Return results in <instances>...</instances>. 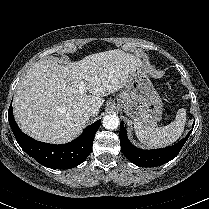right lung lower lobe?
I'll return each mask as SVG.
<instances>
[{
	"mask_svg": "<svg viewBox=\"0 0 209 209\" xmlns=\"http://www.w3.org/2000/svg\"><path fill=\"white\" fill-rule=\"evenodd\" d=\"M8 119L20 147L41 165L55 169L72 168L85 161L92 151L94 136L101 124V120L91 124L70 143L53 145L36 141L23 133L13 117L12 105L8 110Z\"/></svg>",
	"mask_w": 209,
	"mask_h": 209,
	"instance_id": "right-lung-lower-lobe-1",
	"label": "right lung lower lobe"
}]
</instances>
